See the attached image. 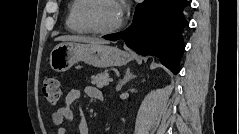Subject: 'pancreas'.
Here are the masks:
<instances>
[{"label":"pancreas","mask_w":239,"mask_h":134,"mask_svg":"<svg viewBox=\"0 0 239 134\" xmlns=\"http://www.w3.org/2000/svg\"><path fill=\"white\" fill-rule=\"evenodd\" d=\"M109 74L107 72H101L97 75L91 76V83L98 88H103L108 85Z\"/></svg>","instance_id":"1"}]
</instances>
